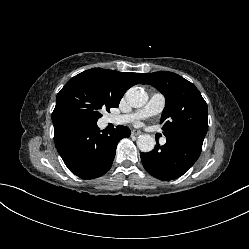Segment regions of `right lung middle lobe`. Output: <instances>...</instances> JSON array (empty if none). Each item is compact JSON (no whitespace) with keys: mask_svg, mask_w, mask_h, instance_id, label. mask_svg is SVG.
Listing matches in <instances>:
<instances>
[{"mask_svg":"<svg viewBox=\"0 0 249 249\" xmlns=\"http://www.w3.org/2000/svg\"><path fill=\"white\" fill-rule=\"evenodd\" d=\"M102 90L86 79H70L57 94L54 113L66 112L91 123L102 116L101 109L118 107Z\"/></svg>","mask_w":249,"mask_h":249,"instance_id":"right-lung-middle-lobe-1","label":"right lung middle lobe"}]
</instances>
